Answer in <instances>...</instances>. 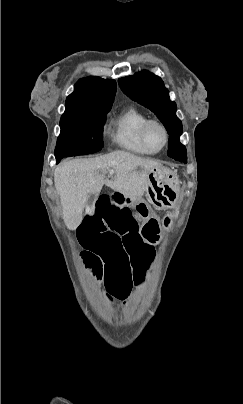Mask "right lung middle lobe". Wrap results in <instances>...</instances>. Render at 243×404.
<instances>
[{"instance_id": "dd1d6c3e", "label": "right lung middle lobe", "mask_w": 243, "mask_h": 404, "mask_svg": "<svg viewBox=\"0 0 243 404\" xmlns=\"http://www.w3.org/2000/svg\"><path fill=\"white\" fill-rule=\"evenodd\" d=\"M110 109L64 112L54 151L57 163L64 157L92 154L103 148V125Z\"/></svg>"}]
</instances>
